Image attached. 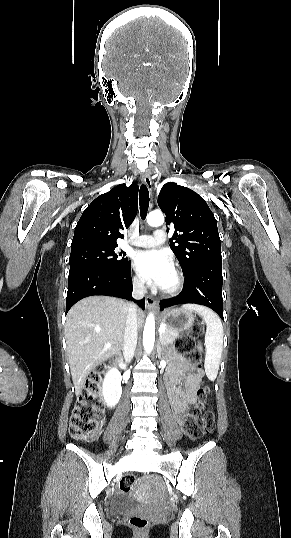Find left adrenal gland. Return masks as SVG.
<instances>
[{
	"label": "left adrenal gland",
	"instance_id": "obj_1",
	"mask_svg": "<svg viewBox=\"0 0 291 538\" xmlns=\"http://www.w3.org/2000/svg\"><path fill=\"white\" fill-rule=\"evenodd\" d=\"M162 350H163V347H162V344L159 341L157 343V353H158L159 358H161Z\"/></svg>",
	"mask_w": 291,
	"mask_h": 538
}]
</instances>
